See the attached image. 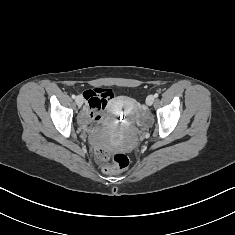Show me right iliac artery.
I'll return each instance as SVG.
<instances>
[{
  "mask_svg": "<svg viewBox=\"0 0 235 235\" xmlns=\"http://www.w3.org/2000/svg\"><path fill=\"white\" fill-rule=\"evenodd\" d=\"M72 98H73V99H75V98H76V95H75V94H73V95H72Z\"/></svg>",
  "mask_w": 235,
  "mask_h": 235,
  "instance_id": "1",
  "label": "right iliac artery"
}]
</instances>
